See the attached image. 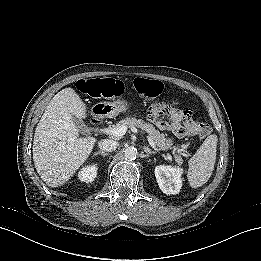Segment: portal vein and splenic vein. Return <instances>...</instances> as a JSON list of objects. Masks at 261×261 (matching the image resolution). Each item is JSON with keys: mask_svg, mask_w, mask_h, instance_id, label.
<instances>
[{"mask_svg": "<svg viewBox=\"0 0 261 261\" xmlns=\"http://www.w3.org/2000/svg\"><path fill=\"white\" fill-rule=\"evenodd\" d=\"M131 130L133 132H137V129L135 127H132ZM103 131L106 133V134H109V135H113L115 137H122L126 131H127V127L124 126V125H120V126H113V127H107V128H104ZM148 138V142L149 144L155 148V143L153 142L152 138L150 136L147 137Z\"/></svg>", "mask_w": 261, "mask_h": 261, "instance_id": "18ae733b", "label": "portal vein and splenic vein"}]
</instances>
